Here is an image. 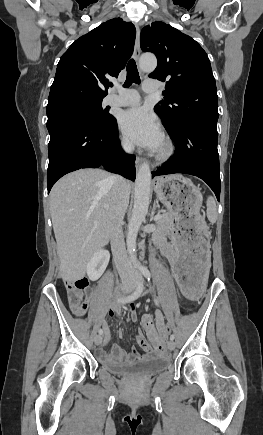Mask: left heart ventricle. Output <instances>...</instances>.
<instances>
[{
	"label": "left heart ventricle",
	"mask_w": 263,
	"mask_h": 435,
	"mask_svg": "<svg viewBox=\"0 0 263 435\" xmlns=\"http://www.w3.org/2000/svg\"><path fill=\"white\" fill-rule=\"evenodd\" d=\"M161 147H162V144H161V146L157 150L161 149Z\"/></svg>",
	"instance_id": "b2bd125f"
}]
</instances>
